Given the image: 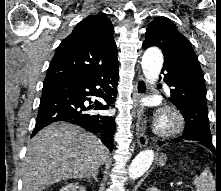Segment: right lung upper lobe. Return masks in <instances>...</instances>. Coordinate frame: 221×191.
Wrapping results in <instances>:
<instances>
[{
    "instance_id": "right-lung-upper-lobe-1",
    "label": "right lung upper lobe",
    "mask_w": 221,
    "mask_h": 191,
    "mask_svg": "<svg viewBox=\"0 0 221 191\" xmlns=\"http://www.w3.org/2000/svg\"><path fill=\"white\" fill-rule=\"evenodd\" d=\"M112 23L89 15L58 46L44 84L95 77L118 67Z\"/></svg>"
}]
</instances>
